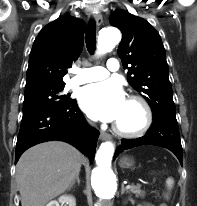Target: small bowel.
<instances>
[{"mask_svg": "<svg viewBox=\"0 0 197 206\" xmlns=\"http://www.w3.org/2000/svg\"><path fill=\"white\" fill-rule=\"evenodd\" d=\"M145 206H151V205L147 204V205H145Z\"/></svg>", "mask_w": 197, "mask_h": 206, "instance_id": "1", "label": "small bowel"}]
</instances>
